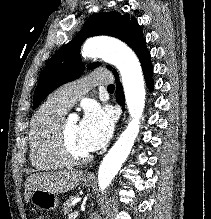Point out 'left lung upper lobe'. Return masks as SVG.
<instances>
[{
	"instance_id": "obj_1",
	"label": "left lung upper lobe",
	"mask_w": 211,
	"mask_h": 219,
	"mask_svg": "<svg viewBox=\"0 0 211 219\" xmlns=\"http://www.w3.org/2000/svg\"><path fill=\"white\" fill-rule=\"evenodd\" d=\"M108 35L118 38L129 45L134 51L144 40L141 28L136 19L129 14L118 12H99L92 15L72 41L59 49L48 61L41 74L33 97V109L57 87L77 79L84 71L80 59V47L84 40L91 36ZM99 62L91 63L88 69H94ZM112 70L111 66H107ZM113 71H116L113 69Z\"/></svg>"
}]
</instances>
